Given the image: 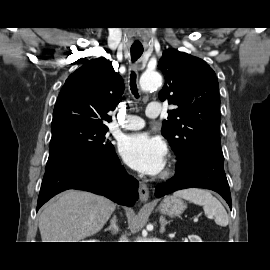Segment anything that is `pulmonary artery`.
<instances>
[{
	"label": "pulmonary artery",
	"mask_w": 270,
	"mask_h": 270,
	"mask_svg": "<svg viewBox=\"0 0 270 270\" xmlns=\"http://www.w3.org/2000/svg\"><path fill=\"white\" fill-rule=\"evenodd\" d=\"M161 114V106L158 103L148 105L146 109L147 117L151 119L158 118ZM145 126V121L136 115H128L125 120L120 124L121 128L127 130H139Z\"/></svg>",
	"instance_id": "pulmonary-artery-1"
}]
</instances>
